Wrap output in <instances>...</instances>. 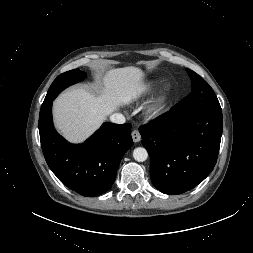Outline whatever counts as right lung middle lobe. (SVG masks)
Segmentation results:
<instances>
[{
	"instance_id": "dd1d6c3e",
	"label": "right lung middle lobe",
	"mask_w": 253,
	"mask_h": 253,
	"mask_svg": "<svg viewBox=\"0 0 253 253\" xmlns=\"http://www.w3.org/2000/svg\"><path fill=\"white\" fill-rule=\"evenodd\" d=\"M85 77L86 73L79 69L70 70L59 75L51 84L43 103L54 100L63 89L83 80Z\"/></svg>"
}]
</instances>
